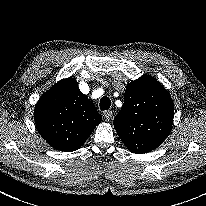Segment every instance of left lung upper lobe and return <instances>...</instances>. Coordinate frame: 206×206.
Wrapping results in <instances>:
<instances>
[{
    "label": "left lung upper lobe",
    "mask_w": 206,
    "mask_h": 206,
    "mask_svg": "<svg viewBox=\"0 0 206 206\" xmlns=\"http://www.w3.org/2000/svg\"><path fill=\"white\" fill-rule=\"evenodd\" d=\"M173 117L170 94L155 78L143 75L127 85L114 127L129 151L142 154L162 144L172 129Z\"/></svg>",
    "instance_id": "left-lung-upper-lobe-1"
}]
</instances>
